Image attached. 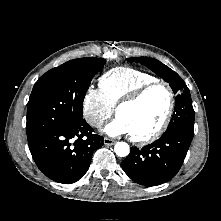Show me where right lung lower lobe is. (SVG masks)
<instances>
[{
	"mask_svg": "<svg viewBox=\"0 0 221 221\" xmlns=\"http://www.w3.org/2000/svg\"><path fill=\"white\" fill-rule=\"evenodd\" d=\"M104 138L82 118L59 126L29 144L32 157L41 172L64 184L78 181L87 172L93 152Z\"/></svg>",
	"mask_w": 221,
	"mask_h": 221,
	"instance_id": "1",
	"label": "right lung lower lobe"
}]
</instances>
